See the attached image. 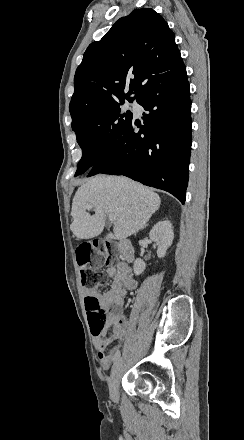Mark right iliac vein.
Returning a JSON list of instances; mask_svg holds the SVG:
<instances>
[{"instance_id": "obj_1", "label": "right iliac vein", "mask_w": 244, "mask_h": 440, "mask_svg": "<svg viewBox=\"0 0 244 440\" xmlns=\"http://www.w3.org/2000/svg\"><path fill=\"white\" fill-rule=\"evenodd\" d=\"M122 366V359H117L114 362V365L112 367L110 377L108 380V386H109V393L110 397L113 400H116L118 398V389H119V377H120V371Z\"/></svg>"}]
</instances>
